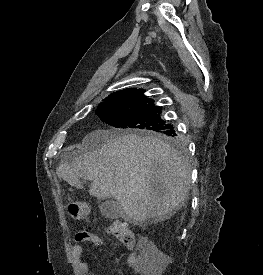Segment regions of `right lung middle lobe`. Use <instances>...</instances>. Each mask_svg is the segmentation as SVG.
<instances>
[{
    "label": "right lung middle lobe",
    "mask_w": 263,
    "mask_h": 275,
    "mask_svg": "<svg viewBox=\"0 0 263 275\" xmlns=\"http://www.w3.org/2000/svg\"><path fill=\"white\" fill-rule=\"evenodd\" d=\"M96 114L103 122L117 128L153 132L162 141L181 145L177 134L165 132L173 126L161 119V107L155 106L152 99L113 93L100 103Z\"/></svg>",
    "instance_id": "right-lung-middle-lobe-1"
}]
</instances>
